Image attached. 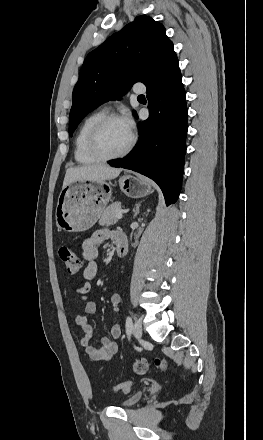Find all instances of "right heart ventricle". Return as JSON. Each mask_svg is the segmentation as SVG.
<instances>
[{
    "mask_svg": "<svg viewBox=\"0 0 263 440\" xmlns=\"http://www.w3.org/2000/svg\"><path fill=\"white\" fill-rule=\"evenodd\" d=\"M103 110H97L89 114L80 124L74 141V157L80 164H92L99 160L95 159L87 150V137L93 124L103 115Z\"/></svg>",
    "mask_w": 263,
    "mask_h": 440,
    "instance_id": "obj_1",
    "label": "right heart ventricle"
}]
</instances>
